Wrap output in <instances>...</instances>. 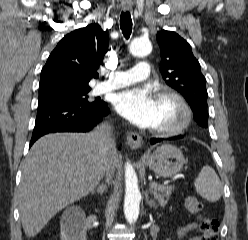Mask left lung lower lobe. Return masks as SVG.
Segmentation results:
<instances>
[{
    "label": "left lung lower lobe",
    "instance_id": "obj_1",
    "mask_svg": "<svg viewBox=\"0 0 248 240\" xmlns=\"http://www.w3.org/2000/svg\"><path fill=\"white\" fill-rule=\"evenodd\" d=\"M180 138H183V136L182 135L175 136V137L169 138V140L180 139ZM162 140L163 139H155V138H153V139H151V144H155V143L160 142Z\"/></svg>",
    "mask_w": 248,
    "mask_h": 240
}]
</instances>
